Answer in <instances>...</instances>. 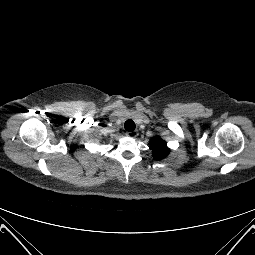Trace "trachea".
<instances>
[{
    "label": "trachea",
    "instance_id": "3493384b",
    "mask_svg": "<svg viewBox=\"0 0 255 255\" xmlns=\"http://www.w3.org/2000/svg\"><path fill=\"white\" fill-rule=\"evenodd\" d=\"M124 128L131 132V131H134L135 130V123L133 120H127L124 124Z\"/></svg>",
    "mask_w": 255,
    "mask_h": 255
}]
</instances>
